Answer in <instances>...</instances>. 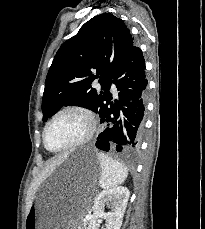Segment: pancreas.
Here are the masks:
<instances>
[{"instance_id":"cf45deb5","label":"pancreas","mask_w":205,"mask_h":229,"mask_svg":"<svg viewBox=\"0 0 205 229\" xmlns=\"http://www.w3.org/2000/svg\"><path fill=\"white\" fill-rule=\"evenodd\" d=\"M81 226H82V227H81L80 229H82L83 227H85V226H86V222L83 221V222L81 223Z\"/></svg>"}]
</instances>
